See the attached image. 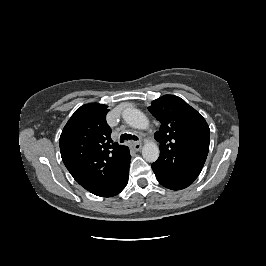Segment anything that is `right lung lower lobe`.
I'll return each mask as SVG.
<instances>
[{
    "label": "right lung lower lobe",
    "mask_w": 266,
    "mask_h": 266,
    "mask_svg": "<svg viewBox=\"0 0 266 266\" xmlns=\"http://www.w3.org/2000/svg\"><path fill=\"white\" fill-rule=\"evenodd\" d=\"M128 173H129V167H128L125 175L122 177L121 181L119 182L117 188L113 191V193L110 196L117 195L118 193H120L125 188V186L127 185V182H128Z\"/></svg>",
    "instance_id": "1"
}]
</instances>
